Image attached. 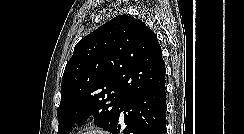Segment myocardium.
<instances>
[{
  "instance_id": "obj_1",
  "label": "myocardium",
  "mask_w": 244,
  "mask_h": 134,
  "mask_svg": "<svg viewBox=\"0 0 244 134\" xmlns=\"http://www.w3.org/2000/svg\"><path fill=\"white\" fill-rule=\"evenodd\" d=\"M72 134H111V132L105 127L98 124H88Z\"/></svg>"
}]
</instances>
